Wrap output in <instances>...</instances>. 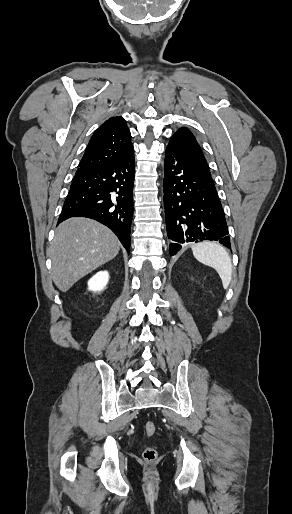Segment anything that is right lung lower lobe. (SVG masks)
Segmentation results:
<instances>
[{"label":"right lung lower lobe","mask_w":292,"mask_h":514,"mask_svg":"<svg viewBox=\"0 0 292 514\" xmlns=\"http://www.w3.org/2000/svg\"><path fill=\"white\" fill-rule=\"evenodd\" d=\"M134 154L102 167L78 168L58 223L87 217L106 225L130 249L133 215Z\"/></svg>","instance_id":"obj_1"}]
</instances>
